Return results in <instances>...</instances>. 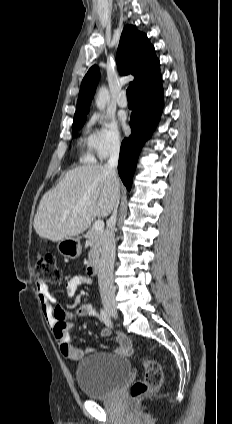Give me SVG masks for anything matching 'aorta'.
Returning <instances> with one entry per match:
<instances>
[{
  "label": "aorta",
  "instance_id": "obj_1",
  "mask_svg": "<svg viewBox=\"0 0 232 424\" xmlns=\"http://www.w3.org/2000/svg\"><path fill=\"white\" fill-rule=\"evenodd\" d=\"M110 100V94L106 87H101L99 89L97 98H96V106L98 109L103 110L105 109L107 103Z\"/></svg>",
  "mask_w": 232,
  "mask_h": 424
}]
</instances>
